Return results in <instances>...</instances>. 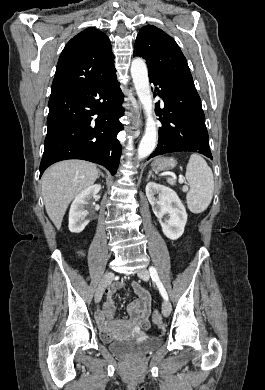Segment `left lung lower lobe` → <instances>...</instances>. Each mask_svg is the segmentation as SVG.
<instances>
[{"mask_svg": "<svg viewBox=\"0 0 265 390\" xmlns=\"http://www.w3.org/2000/svg\"><path fill=\"white\" fill-rule=\"evenodd\" d=\"M158 86L156 91L163 98L164 109L156 104L160 117L158 145L148 159L172 152H197L210 159L208 132L201 100L192 80H159L149 78Z\"/></svg>", "mask_w": 265, "mask_h": 390, "instance_id": "left-lung-lower-lobe-1", "label": "left lung lower lobe"}]
</instances>
